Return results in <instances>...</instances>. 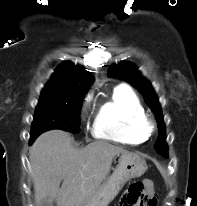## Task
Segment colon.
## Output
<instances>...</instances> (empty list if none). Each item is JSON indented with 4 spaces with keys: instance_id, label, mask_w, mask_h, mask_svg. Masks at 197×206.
<instances>
[{
    "instance_id": "1",
    "label": "colon",
    "mask_w": 197,
    "mask_h": 206,
    "mask_svg": "<svg viewBox=\"0 0 197 206\" xmlns=\"http://www.w3.org/2000/svg\"><path fill=\"white\" fill-rule=\"evenodd\" d=\"M127 206H134L140 204L145 206H155L156 198L150 188L147 187V181L133 183L123 199Z\"/></svg>"
}]
</instances>
